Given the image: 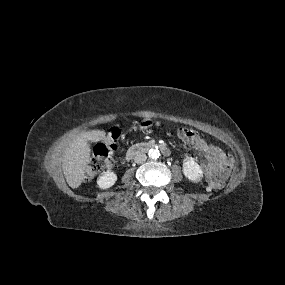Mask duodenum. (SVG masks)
I'll list each match as a JSON object with an SVG mask.
<instances>
[{"mask_svg": "<svg viewBox=\"0 0 285 285\" xmlns=\"http://www.w3.org/2000/svg\"><path fill=\"white\" fill-rule=\"evenodd\" d=\"M151 148H157L158 150H160L163 153L164 156H169V154H170L168 147L163 145V144L142 142V143H137V144L131 146L127 150L126 159H131L135 155L142 153V152H146Z\"/></svg>", "mask_w": 285, "mask_h": 285, "instance_id": "1", "label": "duodenum"}]
</instances>
